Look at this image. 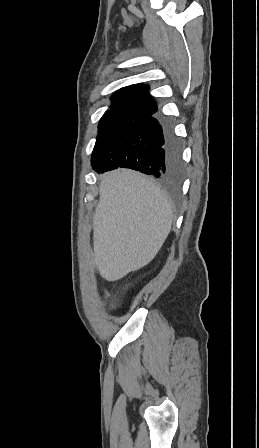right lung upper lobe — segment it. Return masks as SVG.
Returning a JSON list of instances; mask_svg holds the SVG:
<instances>
[{"label": "right lung upper lobe", "mask_w": 259, "mask_h": 448, "mask_svg": "<svg viewBox=\"0 0 259 448\" xmlns=\"http://www.w3.org/2000/svg\"><path fill=\"white\" fill-rule=\"evenodd\" d=\"M150 87L144 83L123 87L115 92L112 105L106 114L137 113L142 116L154 114L158 111L156 103L149 94Z\"/></svg>", "instance_id": "right-lung-upper-lobe-1"}]
</instances>
